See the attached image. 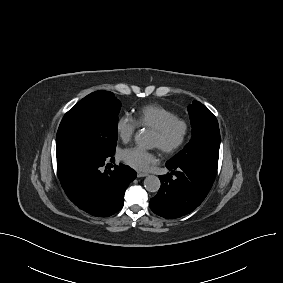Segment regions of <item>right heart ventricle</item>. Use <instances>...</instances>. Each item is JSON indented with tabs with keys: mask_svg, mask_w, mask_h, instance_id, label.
Segmentation results:
<instances>
[{
	"mask_svg": "<svg viewBox=\"0 0 283 283\" xmlns=\"http://www.w3.org/2000/svg\"><path fill=\"white\" fill-rule=\"evenodd\" d=\"M176 116L177 115L173 111L161 105L150 104L137 111L136 122L142 127L156 130L165 122Z\"/></svg>",
	"mask_w": 283,
	"mask_h": 283,
	"instance_id": "obj_1",
	"label": "right heart ventricle"
}]
</instances>
